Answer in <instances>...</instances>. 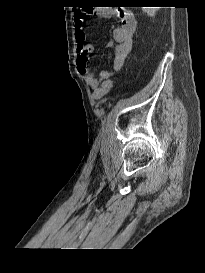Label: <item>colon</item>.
I'll return each mask as SVG.
<instances>
[{
  "label": "colon",
  "instance_id": "1",
  "mask_svg": "<svg viewBox=\"0 0 205 273\" xmlns=\"http://www.w3.org/2000/svg\"><path fill=\"white\" fill-rule=\"evenodd\" d=\"M112 86V81L111 80H107L103 83V85L101 86V88L96 92V96L98 98L102 97L103 95H105L111 88Z\"/></svg>",
  "mask_w": 205,
  "mask_h": 273
}]
</instances>
